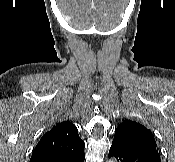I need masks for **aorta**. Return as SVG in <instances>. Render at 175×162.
<instances>
[{
    "label": "aorta",
    "instance_id": "762f6f07",
    "mask_svg": "<svg viewBox=\"0 0 175 162\" xmlns=\"http://www.w3.org/2000/svg\"><path fill=\"white\" fill-rule=\"evenodd\" d=\"M108 162H116L114 159L109 160Z\"/></svg>",
    "mask_w": 175,
    "mask_h": 162
}]
</instances>
